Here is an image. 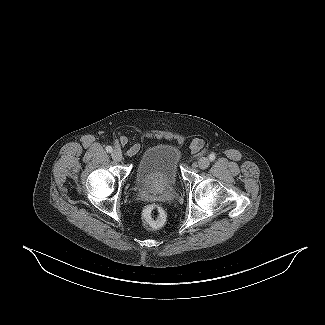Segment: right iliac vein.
I'll list each match as a JSON object with an SVG mask.
<instances>
[{
    "mask_svg": "<svg viewBox=\"0 0 325 325\" xmlns=\"http://www.w3.org/2000/svg\"><path fill=\"white\" fill-rule=\"evenodd\" d=\"M111 156H112L113 160H115V161H121L122 160V153L118 149L113 150L112 153H111Z\"/></svg>",
    "mask_w": 325,
    "mask_h": 325,
    "instance_id": "63e3f726",
    "label": "right iliac vein"
}]
</instances>
